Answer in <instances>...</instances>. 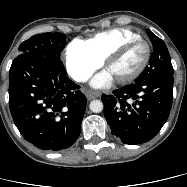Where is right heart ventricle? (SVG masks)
Masks as SVG:
<instances>
[{"label":"right heart ventricle","mask_w":187,"mask_h":187,"mask_svg":"<svg viewBox=\"0 0 187 187\" xmlns=\"http://www.w3.org/2000/svg\"><path fill=\"white\" fill-rule=\"evenodd\" d=\"M141 37L139 34L125 28H115L95 34L85 42L101 59L121 43Z\"/></svg>","instance_id":"obj_1"}]
</instances>
